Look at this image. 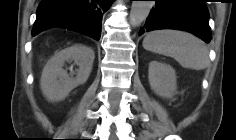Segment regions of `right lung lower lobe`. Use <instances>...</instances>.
I'll list each match as a JSON object with an SVG mask.
<instances>
[{
    "instance_id": "98d812e1",
    "label": "right lung lower lobe",
    "mask_w": 236,
    "mask_h": 140,
    "mask_svg": "<svg viewBox=\"0 0 236 140\" xmlns=\"http://www.w3.org/2000/svg\"><path fill=\"white\" fill-rule=\"evenodd\" d=\"M112 1L42 0L37 9L32 35L52 27H65L99 40L102 16Z\"/></svg>"
}]
</instances>
